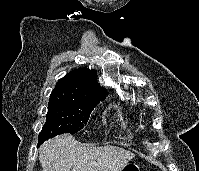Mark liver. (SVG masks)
Masks as SVG:
<instances>
[{
  "label": "liver",
  "instance_id": "liver-1",
  "mask_svg": "<svg viewBox=\"0 0 199 171\" xmlns=\"http://www.w3.org/2000/svg\"><path fill=\"white\" fill-rule=\"evenodd\" d=\"M134 154L114 146L90 147L60 135L39 148L42 171H119Z\"/></svg>",
  "mask_w": 199,
  "mask_h": 171
}]
</instances>
